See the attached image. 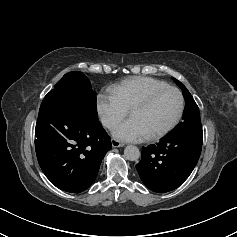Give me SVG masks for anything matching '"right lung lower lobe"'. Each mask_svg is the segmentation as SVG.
I'll list each match as a JSON object with an SVG mask.
<instances>
[{"label": "right lung lower lobe", "instance_id": "obj_1", "mask_svg": "<svg viewBox=\"0 0 237 237\" xmlns=\"http://www.w3.org/2000/svg\"><path fill=\"white\" fill-rule=\"evenodd\" d=\"M35 135L42 171L56 187L70 193H80L94 182L111 149L98 118L78 116L50 99L41 104Z\"/></svg>", "mask_w": 237, "mask_h": 237}]
</instances>
